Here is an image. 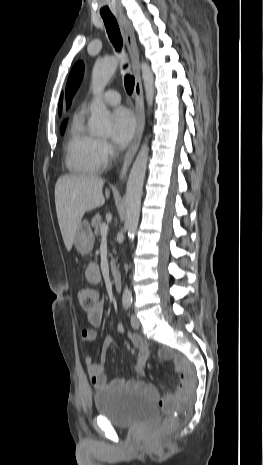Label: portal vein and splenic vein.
<instances>
[{
  "label": "portal vein and splenic vein",
  "mask_w": 263,
  "mask_h": 465,
  "mask_svg": "<svg viewBox=\"0 0 263 465\" xmlns=\"http://www.w3.org/2000/svg\"><path fill=\"white\" fill-rule=\"evenodd\" d=\"M100 232H101L102 238H106L107 232H108V226H107V224L103 223V224L101 225Z\"/></svg>",
  "instance_id": "obj_1"
}]
</instances>
